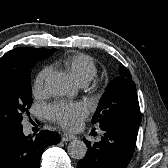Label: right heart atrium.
<instances>
[{
	"label": "right heart atrium",
	"mask_w": 168,
	"mask_h": 168,
	"mask_svg": "<svg viewBox=\"0 0 168 168\" xmlns=\"http://www.w3.org/2000/svg\"><path fill=\"white\" fill-rule=\"evenodd\" d=\"M50 74V68L42 69L35 78L33 84V93L34 95H41L45 92L46 80Z\"/></svg>",
	"instance_id": "1"
}]
</instances>
